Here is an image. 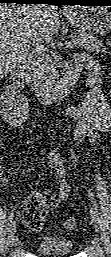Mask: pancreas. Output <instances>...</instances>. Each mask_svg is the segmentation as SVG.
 <instances>
[{
  "mask_svg": "<svg viewBox=\"0 0 111 257\" xmlns=\"http://www.w3.org/2000/svg\"><path fill=\"white\" fill-rule=\"evenodd\" d=\"M81 43L87 51L95 52L97 54L105 52V47L93 37L87 36L81 40Z\"/></svg>",
  "mask_w": 111,
  "mask_h": 257,
  "instance_id": "1",
  "label": "pancreas"
}]
</instances>
